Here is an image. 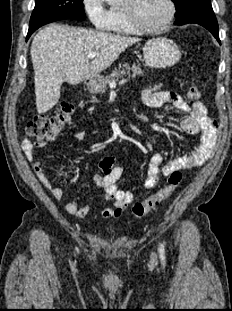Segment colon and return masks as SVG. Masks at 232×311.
Wrapping results in <instances>:
<instances>
[{
    "label": "colon",
    "instance_id": "1",
    "mask_svg": "<svg viewBox=\"0 0 232 311\" xmlns=\"http://www.w3.org/2000/svg\"><path fill=\"white\" fill-rule=\"evenodd\" d=\"M200 95L199 88L195 85H191L186 96L189 102H196L199 100ZM73 110L74 107L70 103H63L61 107L50 116L38 115L29 122L27 133L39 139L51 140L69 122ZM181 179L182 173L180 171L172 172L165 187L148 198L133 204L131 214L137 218H142L150 214L173 195Z\"/></svg>",
    "mask_w": 232,
    "mask_h": 311
}]
</instances>
